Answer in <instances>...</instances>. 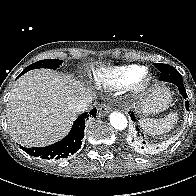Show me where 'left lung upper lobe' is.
Returning <instances> with one entry per match:
<instances>
[{
	"instance_id": "obj_1",
	"label": "left lung upper lobe",
	"mask_w": 196,
	"mask_h": 196,
	"mask_svg": "<svg viewBox=\"0 0 196 196\" xmlns=\"http://www.w3.org/2000/svg\"><path fill=\"white\" fill-rule=\"evenodd\" d=\"M168 65V64H167ZM154 66L159 70V68L157 66H162L161 63H157V64H154ZM175 69V68H174ZM176 70V69H175ZM177 71V70H176ZM161 72V71H160ZM178 75H180V73L177 71ZM162 76L160 74V80H161ZM180 78H182V76L180 75Z\"/></svg>"
}]
</instances>
